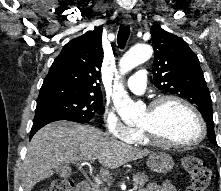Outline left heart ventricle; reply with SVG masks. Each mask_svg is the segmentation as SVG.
I'll use <instances>...</instances> for the list:
<instances>
[{"label":"left heart ventricle","mask_w":221,"mask_h":191,"mask_svg":"<svg viewBox=\"0 0 221 191\" xmlns=\"http://www.w3.org/2000/svg\"><path fill=\"white\" fill-rule=\"evenodd\" d=\"M139 127L154 129L160 138L173 143L190 142L199 135L194 115L176 102L165 103L156 114L147 110Z\"/></svg>","instance_id":"b2bd125f"}]
</instances>
